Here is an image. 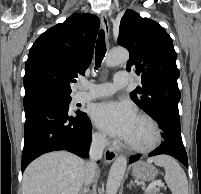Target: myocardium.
Returning a JSON list of instances; mask_svg holds the SVG:
<instances>
[{"instance_id":"myocardium-1","label":"myocardium","mask_w":201,"mask_h":194,"mask_svg":"<svg viewBox=\"0 0 201 194\" xmlns=\"http://www.w3.org/2000/svg\"><path fill=\"white\" fill-rule=\"evenodd\" d=\"M137 118L146 122L150 126V128L152 129V132H153V139L147 145H137V144L127 142V147L131 151L138 152V153L151 152L154 149H156L162 141L161 129H160L158 123L152 117H150L147 114H139L137 116Z\"/></svg>"}]
</instances>
